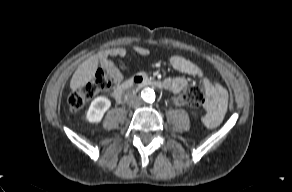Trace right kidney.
Instances as JSON below:
<instances>
[{"label": "right kidney", "mask_w": 292, "mask_h": 192, "mask_svg": "<svg viewBox=\"0 0 292 192\" xmlns=\"http://www.w3.org/2000/svg\"><path fill=\"white\" fill-rule=\"evenodd\" d=\"M110 106L111 102L108 98L103 96L95 98L87 111V120L89 122H100Z\"/></svg>", "instance_id": "obj_1"}]
</instances>
